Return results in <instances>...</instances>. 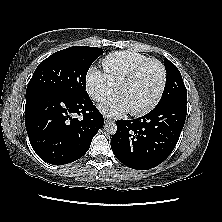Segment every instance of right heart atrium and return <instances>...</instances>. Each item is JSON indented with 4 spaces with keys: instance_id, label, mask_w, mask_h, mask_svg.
<instances>
[{
    "instance_id": "d8ad5b80",
    "label": "right heart atrium",
    "mask_w": 222,
    "mask_h": 222,
    "mask_svg": "<svg viewBox=\"0 0 222 222\" xmlns=\"http://www.w3.org/2000/svg\"><path fill=\"white\" fill-rule=\"evenodd\" d=\"M86 88L89 95L95 101H102L117 90V86L111 81L109 76L96 67H91L87 72Z\"/></svg>"
}]
</instances>
